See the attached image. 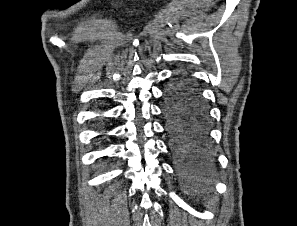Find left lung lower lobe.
Returning <instances> with one entry per match:
<instances>
[{
	"instance_id": "left-lung-lower-lobe-1",
	"label": "left lung lower lobe",
	"mask_w": 297,
	"mask_h": 226,
	"mask_svg": "<svg viewBox=\"0 0 297 226\" xmlns=\"http://www.w3.org/2000/svg\"><path fill=\"white\" fill-rule=\"evenodd\" d=\"M163 113L179 176L188 183H205L212 174L207 112L199 92L187 77L178 76L165 91Z\"/></svg>"
}]
</instances>
